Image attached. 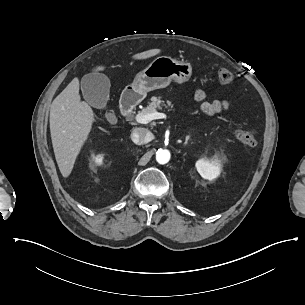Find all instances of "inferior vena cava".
Returning a JSON list of instances; mask_svg holds the SVG:
<instances>
[{
	"label": "inferior vena cava",
	"mask_w": 305,
	"mask_h": 305,
	"mask_svg": "<svg viewBox=\"0 0 305 305\" xmlns=\"http://www.w3.org/2000/svg\"><path fill=\"white\" fill-rule=\"evenodd\" d=\"M152 139V134L145 128H136L131 134V140L136 145H143Z\"/></svg>",
	"instance_id": "inferior-vena-cava-1"
}]
</instances>
